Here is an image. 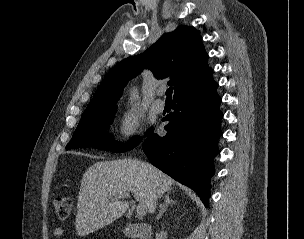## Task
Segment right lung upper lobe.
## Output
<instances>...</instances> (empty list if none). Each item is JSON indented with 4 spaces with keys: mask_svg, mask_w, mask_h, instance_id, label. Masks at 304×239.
I'll list each match as a JSON object with an SVG mask.
<instances>
[{
    "mask_svg": "<svg viewBox=\"0 0 304 239\" xmlns=\"http://www.w3.org/2000/svg\"><path fill=\"white\" fill-rule=\"evenodd\" d=\"M207 59L199 31L181 25L162 35L144 53L119 62L102 81L82 117L115 106L128 81L145 67L158 79L171 76L168 83L174 86L175 94L212 71Z\"/></svg>",
    "mask_w": 304,
    "mask_h": 239,
    "instance_id": "cb5924a9",
    "label": "right lung upper lobe"
}]
</instances>
